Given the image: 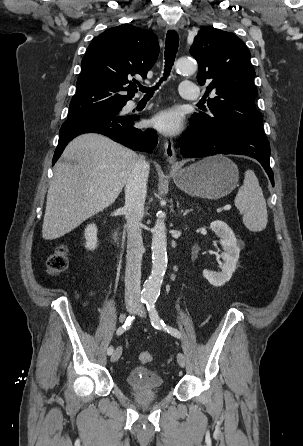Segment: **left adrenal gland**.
Wrapping results in <instances>:
<instances>
[{"label":"left adrenal gland","mask_w":303,"mask_h":446,"mask_svg":"<svg viewBox=\"0 0 303 446\" xmlns=\"http://www.w3.org/2000/svg\"><path fill=\"white\" fill-rule=\"evenodd\" d=\"M179 211H180V214H182L183 216H186L189 212L192 211V209H186L184 211V210H180V206H179Z\"/></svg>","instance_id":"obj_1"}]
</instances>
